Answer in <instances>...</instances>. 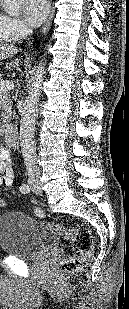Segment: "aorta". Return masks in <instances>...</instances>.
<instances>
[{
    "label": "aorta",
    "instance_id": "762f6f07",
    "mask_svg": "<svg viewBox=\"0 0 129 309\" xmlns=\"http://www.w3.org/2000/svg\"><path fill=\"white\" fill-rule=\"evenodd\" d=\"M24 0H4L5 11L10 16H17L20 13ZM46 74L45 59H41L31 77L29 91L21 108L20 120V146L24 157L35 158V125L39 111L41 90Z\"/></svg>",
    "mask_w": 129,
    "mask_h": 309
}]
</instances>
